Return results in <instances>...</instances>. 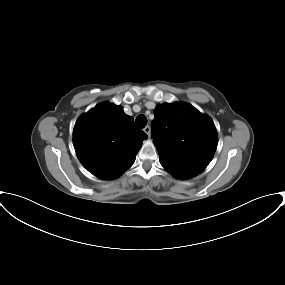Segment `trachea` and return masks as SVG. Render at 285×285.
<instances>
[{
  "label": "trachea",
  "instance_id": "3493384b",
  "mask_svg": "<svg viewBox=\"0 0 285 285\" xmlns=\"http://www.w3.org/2000/svg\"><path fill=\"white\" fill-rule=\"evenodd\" d=\"M136 124L139 128H144L147 124V118L144 115H138L136 118Z\"/></svg>",
  "mask_w": 285,
  "mask_h": 285
}]
</instances>
